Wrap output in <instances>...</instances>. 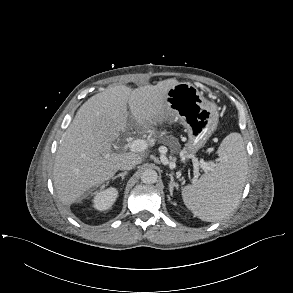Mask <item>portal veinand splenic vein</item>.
Instances as JSON below:
<instances>
[{
  "mask_svg": "<svg viewBox=\"0 0 293 293\" xmlns=\"http://www.w3.org/2000/svg\"><path fill=\"white\" fill-rule=\"evenodd\" d=\"M128 147L133 152H142L145 151L148 147V144L145 140L137 139L133 140L128 144ZM193 165H194V173L195 177H198V167L200 166L205 172H207L210 169V166L213 165L212 162H204L203 160L198 161L196 158L193 159ZM170 168H174V163H170Z\"/></svg>",
  "mask_w": 293,
  "mask_h": 293,
  "instance_id": "portal-vein-and-splenic-vein-1",
  "label": "portal vein and splenic vein"
}]
</instances>
